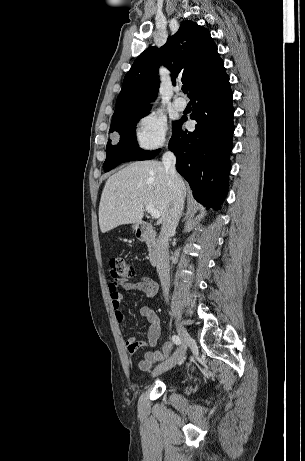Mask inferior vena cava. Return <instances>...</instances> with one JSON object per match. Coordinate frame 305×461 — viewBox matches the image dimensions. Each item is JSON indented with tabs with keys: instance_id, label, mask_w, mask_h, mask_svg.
<instances>
[{
	"instance_id": "602c4592",
	"label": "inferior vena cava",
	"mask_w": 305,
	"mask_h": 461,
	"mask_svg": "<svg viewBox=\"0 0 305 461\" xmlns=\"http://www.w3.org/2000/svg\"><path fill=\"white\" fill-rule=\"evenodd\" d=\"M162 163L167 174V181L170 190V202L158 238V245L156 249V267L164 296L166 300H168L170 287L169 236L175 232L178 225L181 212L183 210L184 196L182 193V182L175 169V155L170 151L166 152L162 157Z\"/></svg>"
}]
</instances>
